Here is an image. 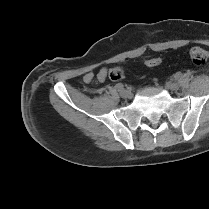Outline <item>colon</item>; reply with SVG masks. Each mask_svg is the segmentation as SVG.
Here are the masks:
<instances>
[{"instance_id": "5ec220e1", "label": "colon", "mask_w": 209, "mask_h": 209, "mask_svg": "<svg viewBox=\"0 0 209 209\" xmlns=\"http://www.w3.org/2000/svg\"><path fill=\"white\" fill-rule=\"evenodd\" d=\"M191 61L197 66H204L209 59V52L201 47H193L189 52ZM147 67H156L161 64L160 58H149L144 61ZM124 70L119 67L112 68L108 76L113 81H119L124 78Z\"/></svg>"}]
</instances>
